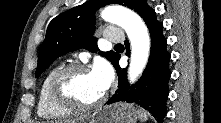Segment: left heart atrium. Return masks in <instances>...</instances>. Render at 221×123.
I'll return each instance as SVG.
<instances>
[{"mask_svg":"<svg viewBox=\"0 0 221 123\" xmlns=\"http://www.w3.org/2000/svg\"><path fill=\"white\" fill-rule=\"evenodd\" d=\"M91 73L98 80L103 90L106 91L113 77L112 69L109 64L103 60H97Z\"/></svg>","mask_w":221,"mask_h":123,"instance_id":"39dd6f15","label":"left heart atrium"}]
</instances>
